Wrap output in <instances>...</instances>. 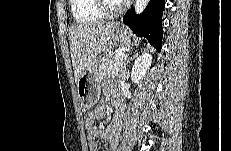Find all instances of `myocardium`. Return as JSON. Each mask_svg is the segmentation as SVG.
I'll use <instances>...</instances> for the list:
<instances>
[{"mask_svg": "<svg viewBox=\"0 0 231 151\" xmlns=\"http://www.w3.org/2000/svg\"><path fill=\"white\" fill-rule=\"evenodd\" d=\"M95 8L97 13L105 19L115 18L125 10L123 4H119L117 8L111 9L107 0H95Z\"/></svg>", "mask_w": 231, "mask_h": 151, "instance_id": "obj_1", "label": "myocardium"}]
</instances>
